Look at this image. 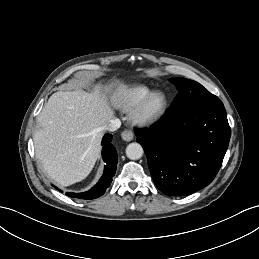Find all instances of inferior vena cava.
Returning a JSON list of instances; mask_svg holds the SVG:
<instances>
[{
	"mask_svg": "<svg viewBox=\"0 0 259 259\" xmlns=\"http://www.w3.org/2000/svg\"><path fill=\"white\" fill-rule=\"evenodd\" d=\"M120 127V121L118 119H111L108 123L102 126L103 131L113 132Z\"/></svg>",
	"mask_w": 259,
	"mask_h": 259,
	"instance_id": "602c4592",
	"label": "inferior vena cava"
}]
</instances>
